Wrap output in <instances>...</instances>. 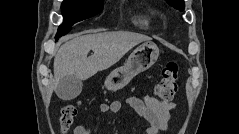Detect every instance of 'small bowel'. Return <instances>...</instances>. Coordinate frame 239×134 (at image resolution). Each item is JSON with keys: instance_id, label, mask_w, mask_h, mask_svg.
<instances>
[{"instance_id": "c3829d8e", "label": "small bowel", "mask_w": 239, "mask_h": 134, "mask_svg": "<svg viewBox=\"0 0 239 134\" xmlns=\"http://www.w3.org/2000/svg\"><path fill=\"white\" fill-rule=\"evenodd\" d=\"M127 102L135 115L148 123L145 134H162L166 130L171 113L175 108L172 102L160 100L150 95L132 96ZM121 108L122 104L117 100L99 105V111L102 113L116 114ZM72 133L91 134V129L87 126L79 125L73 129Z\"/></svg>"}]
</instances>
